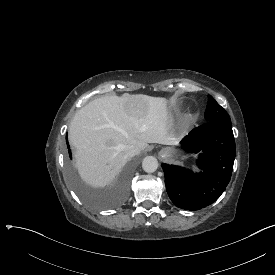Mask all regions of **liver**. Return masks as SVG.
<instances>
[{
	"mask_svg": "<svg viewBox=\"0 0 275 275\" xmlns=\"http://www.w3.org/2000/svg\"><path fill=\"white\" fill-rule=\"evenodd\" d=\"M167 120L166 98L124 93L89 102L76 112L68 131L81 179L95 188L111 184L129 160L126 145L140 153L148 143L178 144L167 132Z\"/></svg>",
	"mask_w": 275,
	"mask_h": 275,
	"instance_id": "liver-1",
	"label": "liver"
}]
</instances>
